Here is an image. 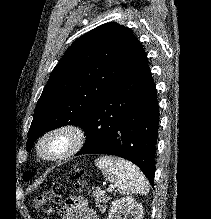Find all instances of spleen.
I'll return each mask as SVG.
<instances>
[{
	"instance_id": "obj_1",
	"label": "spleen",
	"mask_w": 211,
	"mask_h": 219,
	"mask_svg": "<svg viewBox=\"0 0 211 219\" xmlns=\"http://www.w3.org/2000/svg\"><path fill=\"white\" fill-rule=\"evenodd\" d=\"M95 165L122 194H147L149 183L143 173L131 162L122 158L104 156Z\"/></svg>"
}]
</instances>
